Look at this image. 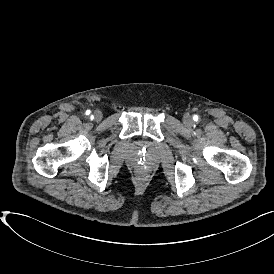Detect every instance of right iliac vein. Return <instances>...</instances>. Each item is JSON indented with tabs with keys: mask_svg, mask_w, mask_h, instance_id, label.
<instances>
[{
	"mask_svg": "<svg viewBox=\"0 0 274 274\" xmlns=\"http://www.w3.org/2000/svg\"><path fill=\"white\" fill-rule=\"evenodd\" d=\"M103 117V114L100 110H95L93 113V118L95 121H100Z\"/></svg>",
	"mask_w": 274,
	"mask_h": 274,
	"instance_id": "63e3f726",
	"label": "right iliac vein"
}]
</instances>
